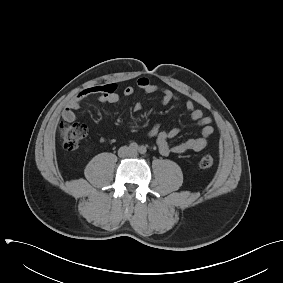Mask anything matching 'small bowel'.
<instances>
[{
    "label": "small bowel",
    "instance_id": "c3829d8e",
    "mask_svg": "<svg viewBox=\"0 0 283 283\" xmlns=\"http://www.w3.org/2000/svg\"><path fill=\"white\" fill-rule=\"evenodd\" d=\"M136 84L138 89L146 94L159 92L161 94V101L165 105L178 99L172 91L152 84L146 77H140ZM134 92L135 88L133 86H126L123 89V94L125 96H132ZM91 95H96L100 102L106 104H116L120 99L117 92V85L115 83L89 87L79 92L67 103L62 112V118L67 122L74 121L76 119L75 111L80 107L81 102ZM185 108L190 113L191 119L201 127V136L198 138L184 140L176 144H171L170 141L178 135L179 129L172 128L169 130H161L160 126L155 124L149 130L148 136L156 140L158 149L162 155H180L189 151H202L207 147L208 139L214 133L211 117L204 115L201 109L196 108L193 101H186ZM133 109L134 111H140L142 109V105L140 103H136Z\"/></svg>",
    "mask_w": 283,
    "mask_h": 283
}]
</instances>
